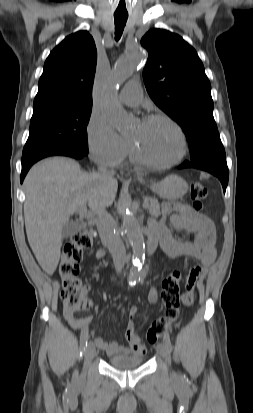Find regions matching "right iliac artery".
<instances>
[{
	"label": "right iliac artery",
	"instance_id": "1",
	"mask_svg": "<svg viewBox=\"0 0 253 413\" xmlns=\"http://www.w3.org/2000/svg\"><path fill=\"white\" fill-rule=\"evenodd\" d=\"M87 342H88V333L81 334V339H80V357L83 356V353L87 347Z\"/></svg>",
	"mask_w": 253,
	"mask_h": 413
}]
</instances>
